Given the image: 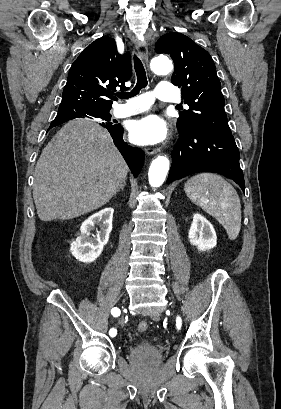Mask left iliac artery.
<instances>
[{"instance_id":"1","label":"left iliac artery","mask_w":281,"mask_h":409,"mask_svg":"<svg viewBox=\"0 0 281 409\" xmlns=\"http://www.w3.org/2000/svg\"><path fill=\"white\" fill-rule=\"evenodd\" d=\"M181 327V319L178 317L177 318V328Z\"/></svg>"}]
</instances>
